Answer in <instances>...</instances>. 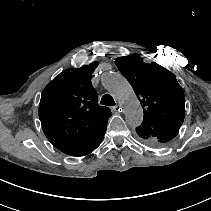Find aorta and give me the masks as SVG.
I'll use <instances>...</instances> for the list:
<instances>
[{
	"label": "aorta",
	"mask_w": 211,
	"mask_h": 211,
	"mask_svg": "<svg viewBox=\"0 0 211 211\" xmlns=\"http://www.w3.org/2000/svg\"><path fill=\"white\" fill-rule=\"evenodd\" d=\"M104 86L124 106L129 125H140L143 120L142 108L129 82L123 76L112 73L104 77Z\"/></svg>",
	"instance_id": "aorta-1"
}]
</instances>
